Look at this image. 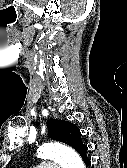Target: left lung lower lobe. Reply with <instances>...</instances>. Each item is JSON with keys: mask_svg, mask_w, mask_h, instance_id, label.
<instances>
[{"mask_svg": "<svg viewBox=\"0 0 127 168\" xmlns=\"http://www.w3.org/2000/svg\"><path fill=\"white\" fill-rule=\"evenodd\" d=\"M87 146L85 144H82L76 151L81 155L84 163L86 164V166H89L91 164L90 159L87 157Z\"/></svg>", "mask_w": 127, "mask_h": 168, "instance_id": "left-lung-lower-lobe-1", "label": "left lung lower lobe"}]
</instances>
